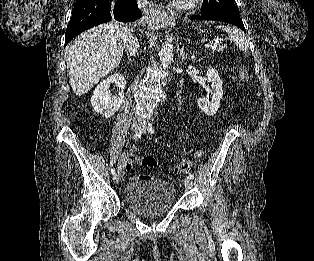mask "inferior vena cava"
Here are the masks:
<instances>
[{
  "label": "inferior vena cava",
  "instance_id": "obj_1",
  "mask_svg": "<svg viewBox=\"0 0 314 261\" xmlns=\"http://www.w3.org/2000/svg\"><path fill=\"white\" fill-rule=\"evenodd\" d=\"M126 47H127L128 55L130 56H135L136 53L138 52V48H139L138 39L134 38L132 36V33L127 39Z\"/></svg>",
  "mask_w": 314,
  "mask_h": 261
}]
</instances>
